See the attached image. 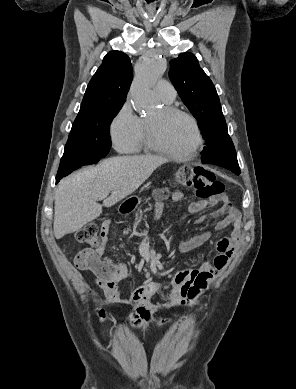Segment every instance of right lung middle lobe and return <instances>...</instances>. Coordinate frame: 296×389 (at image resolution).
I'll return each instance as SVG.
<instances>
[{"instance_id":"1","label":"right lung middle lobe","mask_w":296,"mask_h":389,"mask_svg":"<svg viewBox=\"0 0 296 389\" xmlns=\"http://www.w3.org/2000/svg\"><path fill=\"white\" fill-rule=\"evenodd\" d=\"M122 106L76 118L58 171H74L98 162L110 151L109 127Z\"/></svg>"}]
</instances>
